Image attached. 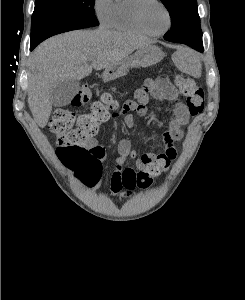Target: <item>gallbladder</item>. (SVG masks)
<instances>
[{"mask_svg":"<svg viewBox=\"0 0 245 300\" xmlns=\"http://www.w3.org/2000/svg\"><path fill=\"white\" fill-rule=\"evenodd\" d=\"M80 88L79 81L67 80L56 84L50 92L53 106L62 107L71 102Z\"/></svg>","mask_w":245,"mask_h":300,"instance_id":"gallbladder-1","label":"gallbladder"}]
</instances>
